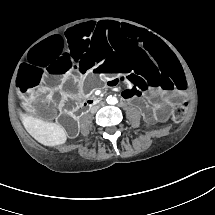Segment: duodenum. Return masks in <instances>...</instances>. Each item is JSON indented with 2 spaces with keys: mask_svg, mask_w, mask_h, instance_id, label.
<instances>
[{
  "mask_svg": "<svg viewBox=\"0 0 215 215\" xmlns=\"http://www.w3.org/2000/svg\"><path fill=\"white\" fill-rule=\"evenodd\" d=\"M102 102V98L99 96H94L89 98L86 102H85V107L89 108L92 106H97Z\"/></svg>",
  "mask_w": 215,
  "mask_h": 215,
  "instance_id": "obj_1",
  "label": "duodenum"
}]
</instances>
